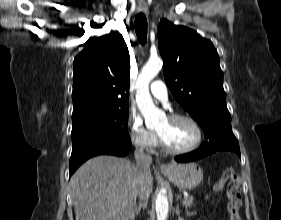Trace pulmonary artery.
I'll return each instance as SVG.
<instances>
[{
    "mask_svg": "<svg viewBox=\"0 0 281 220\" xmlns=\"http://www.w3.org/2000/svg\"><path fill=\"white\" fill-rule=\"evenodd\" d=\"M151 94L153 97L164 104H167L168 101V91L164 82L156 80L151 84L150 87Z\"/></svg>",
    "mask_w": 281,
    "mask_h": 220,
    "instance_id": "e3ab8cb5",
    "label": "pulmonary artery"
}]
</instances>
